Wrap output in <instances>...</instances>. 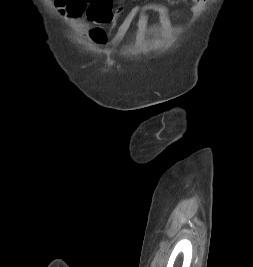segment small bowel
<instances>
[{
	"label": "small bowel",
	"instance_id": "1",
	"mask_svg": "<svg viewBox=\"0 0 253 267\" xmlns=\"http://www.w3.org/2000/svg\"><path fill=\"white\" fill-rule=\"evenodd\" d=\"M70 2L60 7V12L70 18L84 16L94 26L111 24L123 16V21L117 30L110 36V45H117L126 36L134 19L138 17L135 44L142 43L149 20V13L154 12L158 15L163 31L169 35L171 24L168 8L161 4H147L142 6L139 0H123L124 5L114 7V0H69ZM171 1V0H168ZM193 6L191 11L198 15L206 0H191ZM126 8V9H125Z\"/></svg>",
	"mask_w": 253,
	"mask_h": 267
}]
</instances>
